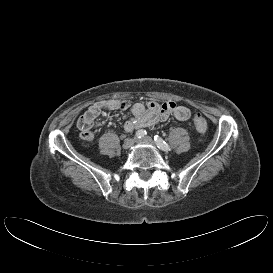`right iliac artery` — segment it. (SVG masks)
<instances>
[{
	"label": "right iliac artery",
	"instance_id": "obj_1",
	"mask_svg": "<svg viewBox=\"0 0 273 273\" xmlns=\"http://www.w3.org/2000/svg\"><path fill=\"white\" fill-rule=\"evenodd\" d=\"M146 134H147L146 131L143 130V129H141V130H138V131L136 132V137H137V138H143V137H145Z\"/></svg>",
	"mask_w": 273,
	"mask_h": 273
}]
</instances>
